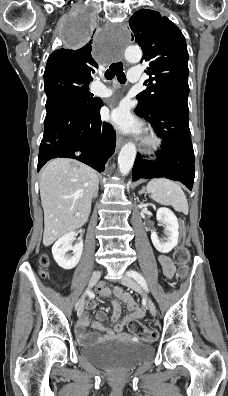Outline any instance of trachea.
Masks as SVG:
<instances>
[{
  "label": "trachea",
  "mask_w": 228,
  "mask_h": 396,
  "mask_svg": "<svg viewBox=\"0 0 228 396\" xmlns=\"http://www.w3.org/2000/svg\"><path fill=\"white\" fill-rule=\"evenodd\" d=\"M115 76L117 77L118 81L121 84H124L126 82V76L123 71L122 62H117V63L111 64L110 67L105 72V78L107 80H112Z\"/></svg>",
  "instance_id": "1"
}]
</instances>
